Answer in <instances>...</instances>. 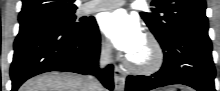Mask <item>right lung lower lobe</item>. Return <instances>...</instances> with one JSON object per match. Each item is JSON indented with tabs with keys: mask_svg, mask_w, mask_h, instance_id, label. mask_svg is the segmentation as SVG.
I'll return each mask as SVG.
<instances>
[{
	"mask_svg": "<svg viewBox=\"0 0 220 91\" xmlns=\"http://www.w3.org/2000/svg\"><path fill=\"white\" fill-rule=\"evenodd\" d=\"M14 50L11 91H16L27 79L49 71L94 74L106 88L113 90V65L98 69L100 33L95 21L82 30L49 19L21 22Z\"/></svg>",
	"mask_w": 220,
	"mask_h": 91,
	"instance_id": "obj_1",
	"label": "right lung lower lobe"
}]
</instances>
